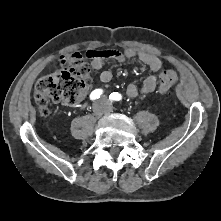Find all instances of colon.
Returning <instances> with one entry per match:
<instances>
[{
    "instance_id": "obj_1",
    "label": "colon",
    "mask_w": 221,
    "mask_h": 221,
    "mask_svg": "<svg viewBox=\"0 0 221 221\" xmlns=\"http://www.w3.org/2000/svg\"><path fill=\"white\" fill-rule=\"evenodd\" d=\"M86 57L89 58L88 53ZM60 63V69L41 77L35 84L34 100L42 116L49 113L50 102L67 105L79 103L92 85L91 69L82 52L66 53L60 57ZM178 80L176 72L163 71L159 92L168 94Z\"/></svg>"
}]
</instances>
